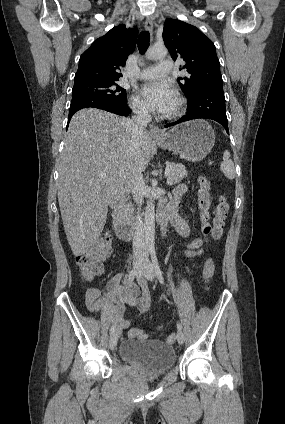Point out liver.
Segmentation results:
<instances>
[{
	"mask_svg": "<svg viewBox=\"0 0 285 424\" xmlns=\"http://www.w3.org/2000/svg\"><path fill=\"white\" fill-rule=\"evenodd\" d=\"M154 143L144 132L132 151L129 119L96 108L72 117L58 164V201L68 243L85 253L106 223L108 206L125 198L136 170L145 171ZM104 172L105 177L100 173Z\"/></svg>",
	"mask_w": 285,
	"mask_h": 424,
	"instance_id": "obj_1",
	"label": "liver"
}]
</instances>
